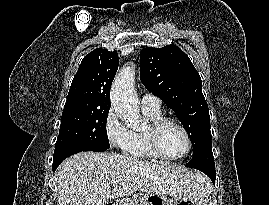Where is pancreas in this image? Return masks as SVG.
<instances>
[{"mask_svg":"<svg viewBox=\"0 0 269 205\" xmlns=\"http://www.w3.org/2000/svg\"><path fill=\"white\" fill-rule=\"evenodd\" d=\"M136 197L137 196H134L133 198L125 199V202L127 203L126 205H134V203L136 202Z\"/></svg>","mask_w":269,"mask_h":205,"instance_id":"obj_1","label":"pancreas"}]
</instances>
